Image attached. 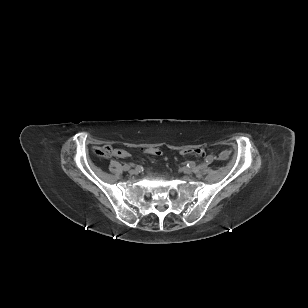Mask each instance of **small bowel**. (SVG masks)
Returning a JSON list of instances; mask_svg holds the SVG:
<instances>
[{"mask_svg":"<svg viewBox=\"0 0 308 308\" xmlns=\"http://www.w3.org/2000/svg\"><path fill=\"white\" fill-rule=\"evenodd\" d=\"M103 147H106V146H103ZM228 155H229L228 151L224 150V151H222V152L219 154V158H220L221 160H224V159H226V158L228 157Z\"/></svg>","mask_w":308,"mask_h":308,"instance_id":"obj_1","label":"small bowel"}]
</instances>
